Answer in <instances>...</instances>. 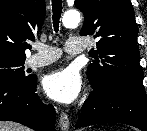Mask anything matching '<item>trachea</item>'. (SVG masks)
<instances>
[{
    "mask_svg": "<svg viewBox=\"0 0 147 131\" xmlns=\"http://www.w3.org/2000/svg\"><path fill=\"white\" fill-rule=\"evenodd\" d=\"M52 11H53V26L55 32H58L59 20L62 13V0H52Z\"/></svg>",
    "mask_w": 147,
    "mask_h": 131,
    "instance_id": "1",
    "label": "trachea"
}]
</instances>
